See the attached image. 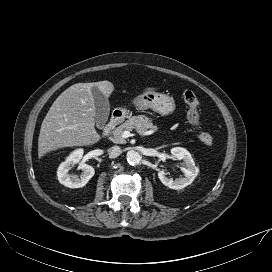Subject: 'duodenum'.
Returning a JSON list of instances; mask_svg holds the SVG:
<instances>
[{
    "label": "duodenum",
    "instance_id": "duodenum-1",
    "mask_svg": "<svg viewBox=\"0 0 272 272\" xmlns=\"http://www.w3.org/2000/svg\"><path fill=\"white\" fill-rule=\"evenodd\" d=\"M124 116H125V112L123 109L119 108L114 110L109 121L107 122V124L104 126L102 130V135L103 136L108 135L122 121Z\"/></svg>",
    "mask_w": 272,
    "mask_h": 272
}]
</instances>
